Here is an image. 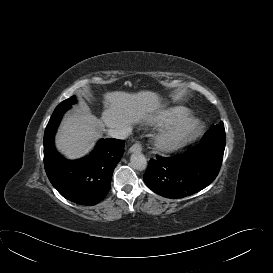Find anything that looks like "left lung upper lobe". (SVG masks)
Here are the masks:
<instances>
[{"label": "left lung upper lobe", "mask_w": 273, "mask_h": 273, "mask_svg": "<svg viewBox=\"0 0 273 273\" xmlns=\"http://www.w3.org/2000/svg\"><path fill=\"white\" fill-rule=\"evenodd\" d=\"M225 129L223 122L212 126L200 141L201 145L214 148L224 154L225 149Z\"/></svg>", "instance_id": "left-lung-upper-lobe-1"}]
</instances>
